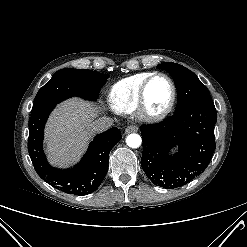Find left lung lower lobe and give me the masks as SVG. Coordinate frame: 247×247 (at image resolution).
Instances as JSON below:
<instances>
[{"label":"left lung lower lobe","instance_id":"left-lung-lower-lobe-1","mask_svg":"<svg viewBox=\"0 0 247 247\" xmlns=\"http://www.w3.org/2000/svg\"><path fill=\"white\" fill-rule=\"evenodd\" d=\"M214 103L191 106L157 124L141 126V166L163 188L181 187L208 166L216 148ZM177 147V152L171 150Z\"/></svg>","mask_w":247,"mask_h":247}]
</instances>
